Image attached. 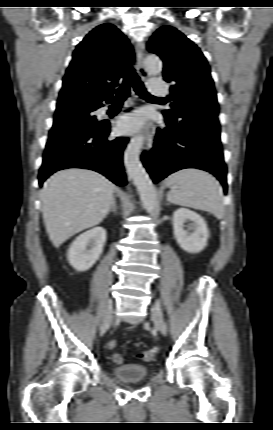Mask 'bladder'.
<instances>
[{"mask_svg": "<svg viewBox=\"0 0 273 430\" xmlns=\"http://www.w3.org/2000/svg\"><path fill=\"white\" fill-rule=\"evenodd\" d=\"M112 375L121 382L135 383L147 379L149 371L141 364H122L112 369Z\"/></svg>", "mask_w": 273, "mask_h": 430, "instance_id": "obj_1", "label": "bladder"}]
</instances>
